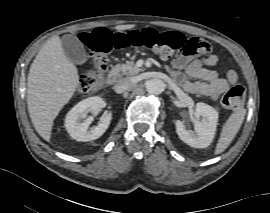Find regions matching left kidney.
Segmentation results:
<instances>
[{"label":"left kidney","instance_id":"left-kidney-1","mask_svg":"<svg viewBox=\"0 0 270 213\" xmlns=\"http://www.w3.org/2000/svg\"><path fill=\"white\" fill-rule=\"evenodd\" d=\"M217 122L218 112L213 107L199 102L195 106L194 131L187 130L183 121L176 120V132L187 145L206 148L214 139Z\"/></svg>","mask_w":270,"mask_h":213}]
</instances>
